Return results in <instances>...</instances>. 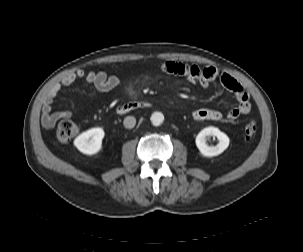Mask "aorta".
<instances>
[{"mask_svg":"<svg viewBox=\"0 0 303 252\" xmlns=\"http://www.w3.org/2000/svg\"><path fill=\"white\" fill-rule=\"evenodd\" d=\"M151 122L153 125L155 126H158L160 124L163 123L164 121V116L162 113L160 112H154L152 115H151V118H150Z\"/></svg>","mask_w":303,"mask_h":252,"instance_id":"aorta-1","label":"aorta"}]
</instances>
